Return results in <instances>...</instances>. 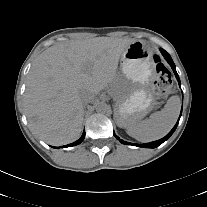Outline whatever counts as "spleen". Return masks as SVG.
Masks as SVG:
<instances>
[{
	"instance_id": "obj_1",
	"label": "spleen",
	"mask_w": 207,
	"mask_h": 207,
	"mask_svg": "<svg viewBox=\"0 0 207 207\" xmlns=\"http://www.w3.org/2000/svg\"><path fill=\"white\" fill-rule=\"evenodd\" d=\"M180 107V98L170 97L161 111L151 114L143 121H131L126 126L127 134L140 142H150L164 137L175 125Z\"/></svg>"
}]
</instances>
